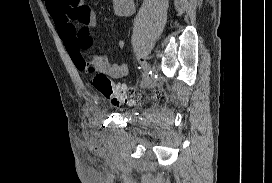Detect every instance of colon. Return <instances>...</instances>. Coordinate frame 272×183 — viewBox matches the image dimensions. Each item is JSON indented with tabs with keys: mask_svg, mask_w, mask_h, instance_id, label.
I'll use <instances>...</instances> for the list:
<instances>
[{
	"mask_svg": "<svg viewBox=\"0 0 272 183\" xmlns=\"http://www.w3.org/2000/svg\"><path fill=\"white\" fill-rule=\"evenodd\" d=\"M84 67L89 73L91 85L104 98L110 100L114 106L133 105L135 103L136 99L133 93L124 86L115 85L108 76L98 72V70L92 65V60L87 55Z\"/></svg>",
	"mask_w": 272,
	"mask_h": 183,
	"instance_id": "1",
	"label": "colon"
}]
</instances>
